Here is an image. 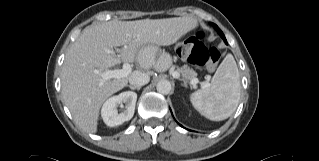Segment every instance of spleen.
Returning <instances> with one entry per match:
<instances>
[{
  "label": "spleen",
  "instance_id": "spleen-1",
  "mask_svg": "<svg viewBox=\"0 0 319 161\" xmlns=\"http://www.w3.org/2000/svg\"><path fill=\"white\" fill-rule=\"evenodd\" d=\"M241 93L237 64L227 54L215 72L211 83L191 94L193 107L212 121L227 119L236 110Z\"/></svg>",
  "mask_w": 319,
  "mask_h": 161
}]
</instances>
